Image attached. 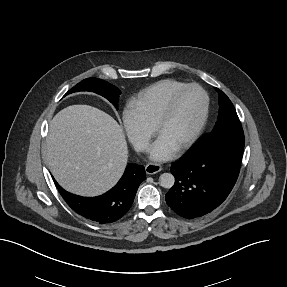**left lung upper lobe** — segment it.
I'll return each instance as SVG.
<instances>
[{
    "instance_id": "obj_1",
    "label": "left lung upper lobe",
    "mask_w": 287,
    "mask_h": 287,
    "mask_svg": "<svg viewBox=\"0 0 287 287\" xmlns=\"http://www.w3.org/2000/svg\"><path fill=\"white\" fill-rule=\"evenodd\" d=\"M217 90L219 94L218 121L213 131L202 138L210 143L223 140L244 143L243 129L233 104L224 92Z\"/></svg>"
}]
</instances>
